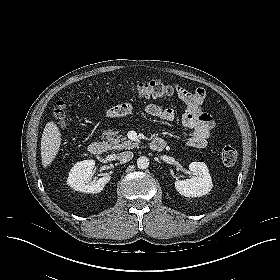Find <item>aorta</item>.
I'll return each mask as SVG.
<instances>
[{"mask_svg":"<svg viewBox=\"0 0 280 280\" xmlns=\"http://www.w3.org/2000/svg\"><path fill=\"white\" fill-rule=\"evenodd\" d=\"M137 166L139 169H146L149 166V159L146 156H141L137 159Z\"/></svg>","mask_w":280,"mask_h":280,"instance_id":"762f6f07","label":"aorta"}]
</instances>
